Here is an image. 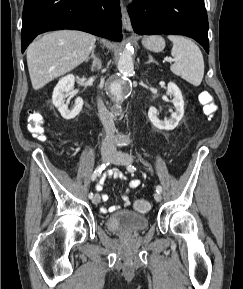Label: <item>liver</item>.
<instances>
[{
    "mask_svg": "<svg viewBox=\"0 0 243 289\" xmlns=\"http://www.w3.org/2000/svg\"><path fill=\"white\" fill-rule=\"evenodd\" d=\"M96 37L77 30L44 34L27 48V65L34 90H39L84 62L95 47Z\"/></svg>",
    "mask_w": 243,
    "mask_h": 289,
    "instance_id": "6515ba94",
    "label": "liver"
}]
</instances>
